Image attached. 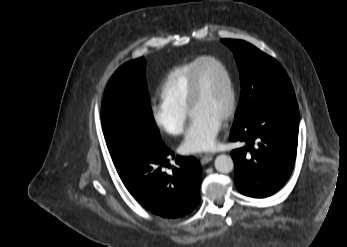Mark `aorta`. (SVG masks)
<instances>
[{
	"label": "aorta",
	"mask_w": 347,
	"mask_h": 247,
	"mask_svg": "<svg viewBox=\"0 0 347 247\" xmlns=\"http://www.w3.org/2000/svg\"><path fill=\"white\" fill-rule=\"evenodd\" d=\"M215 169L220 173H230L234 168V163L229 155L221 154L216 157Z\"/></svg>",
	"instance_id": "762f6f07"
}]
</instances>
